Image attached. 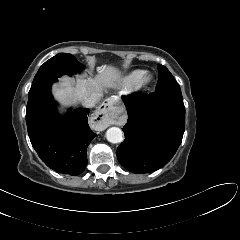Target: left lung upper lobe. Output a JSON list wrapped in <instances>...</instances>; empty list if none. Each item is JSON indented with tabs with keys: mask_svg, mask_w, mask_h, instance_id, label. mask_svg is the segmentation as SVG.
<instances>
[{
	"mask_svg": "<svg viewBox=\"0 0 240 240\" xmlns=\"http://www.w3.org/2000/svg\"><path fill=\"white\" fill-rule=\"evenodd\" d=\"M159 69V80L156 86V90H163V89H172V90H180L178 83L173 78L172 74L169 70L163 66L158 65Z\"/></svg>",
	"mask_w": 240,
	"mask_h": 240,
	"instance_id": "obj_1",
	"label": "left lung upper lobe"
}]
</instances>
